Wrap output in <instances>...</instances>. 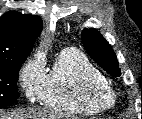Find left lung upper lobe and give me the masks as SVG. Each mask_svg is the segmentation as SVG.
<instances>
[{
    "instance_id": "obj_1",
    "label": "left lung upper lobe",
    "mask_w": 142,
    "mask_h": 119,
    "mask_svg": "<svg viewBox=\"0 0 142 119\" xmlns=\"http://www.w3.org/2000/svg\"><path fill=\"white\" fill-rule=\"evenodd\" d=\"M82 42L92 59L114 77L121 75L117 57L110 44L95 29L82 31Z\"/></svg>"
}]
</instances>
